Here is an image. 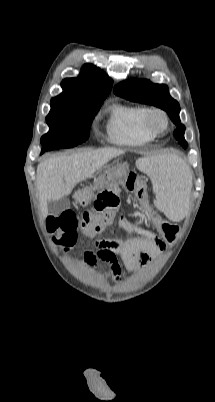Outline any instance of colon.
<instances>
[{"label":"colon","mask_w":215,"mask_h":402,"mask_svg":"<svg viewBox=\"0 0 215 402\" xmlns=\"http://www.w3.org/2000/svg\"><path fill=\"white\" fill-rule=\"evenodd\" d=\"M124 164L130 163L129 157L123 158ZM112 165V164H111ZM124 185L131 192L134 198L142 204L143 211L152 220L160 236L168 246L177 245L175 238L178 235L179 227L169 221L163 220L146 203L145 191L146 183L133 170H129L125 178ZM122 205V193L118 187H112L101 191L95 202L93 209L83 211L80 220L82 232L86 236H93L112 225L116 219L117 213ZM129 221L120 219V227H125ZM48 230L54 234V240L69 249L77 241L78 220L72 212H64L60 216H50L47 221Z\"/></svg>","instance_id":"obj_1"}]
</instances>
